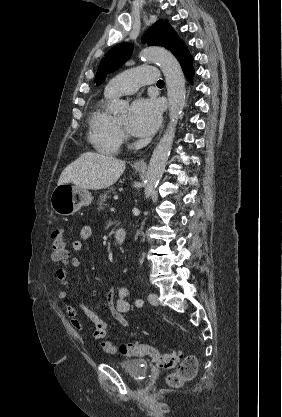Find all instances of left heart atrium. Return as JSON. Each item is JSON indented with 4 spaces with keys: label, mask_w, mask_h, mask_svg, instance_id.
<instances>
[{
    "label": "left heart atrium",
    "mask_w": 282,
    "mask_h": 417,
    "mask_svg": "<svg viewBox=\"0 0 282 417\" xmlns=\"http://www.w3.org/2000/svg\"><path fill=\"white\" fill-rule=\"evenodd\" d=\"M160 121L161 110L159 104L153 100L141 99L132 105L126 127L133 135L146 136L157 129Z\"/></svg>",
    "instance_id": "1"
}]
</instances>
